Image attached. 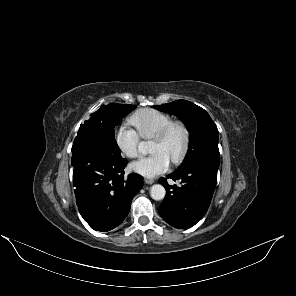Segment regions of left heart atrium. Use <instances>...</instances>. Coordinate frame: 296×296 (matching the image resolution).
I'll return each mask as SVG.
<instances>
[{
    "label": "left heart atrium",
    "instance_id": "obj_1",
    "mask_svg": "<svg viewBox=\"0 0 296 296\" xmlns=\"http://www.w3.org/2000/svg\"><path fill=\"white\" fill-rule=\"evenodd\" d=\"M170 158L163 152H156L131 164V169L145 177H154L168 170Z\"/></svg>",
    "mask_w": 296,
    "mask_h": 296
}]
</instances>
